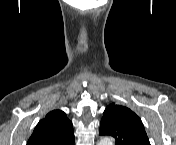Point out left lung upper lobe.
<instances>
[{"instance_id": "obj_1", "label": "left lung upper lobe", "mask_w": 176, "mask_h": 145, "mask_svg": "<svg viewBox=\"0 0 176 145\" xmlns=\"http://www.w3.org/2000/svg\"><path fill=\"white\" fill-rule=\"evenodd\" d=\"M100 135H110L116 145H150L141 119L129 108L110 104L100 123Z\"/></svg>"}]
</instances>
